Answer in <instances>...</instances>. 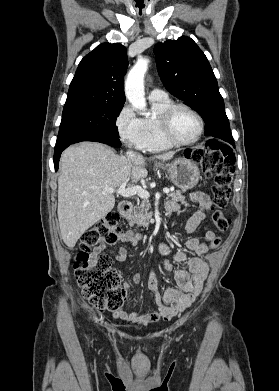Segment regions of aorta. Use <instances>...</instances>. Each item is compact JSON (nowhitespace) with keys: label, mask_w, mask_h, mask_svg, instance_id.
I'll use <instances>...</instances> for the list:
<instances>
[{"label":"aorta","mask_w":279,"mask_h":391,"mask_svg":"<svg viewBox=\"0 0 279 391\" xmlns=\"http://www.w3.org/2000/svg\"><path fill=\"white\" fill-rule=\"evenodd\" d=\"M149 60L140 58L129 71L125 81V95L132 107L139 113L145 114L146 100L144 77L148 69Z\"/></svg>","instance_id":"762f6f07"}]
</instances>
